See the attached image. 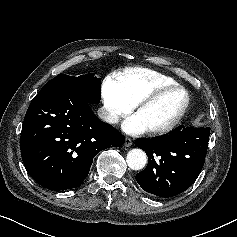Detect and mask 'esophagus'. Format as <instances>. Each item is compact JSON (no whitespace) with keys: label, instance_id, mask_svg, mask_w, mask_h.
I'll return each instance as SVG.
<instances>
[{"label":"esophagus","instance_id":"1","mask_svg":"<svg viewBox=\"0 0 237 237\" xmlns=\"http://www.w3.org/2000/svg\"><path fill=\"white\" fill-rule=\"evenodd\" d=\"M124 145H125L126 147H130V146L132 145V139L129 138V137H126V138H125V143H124Z\"/></svg>","mask_w":237,"mask_h":237}]
</instances>
